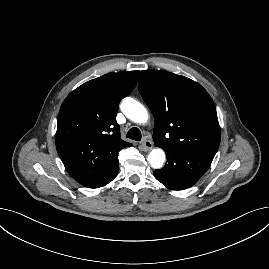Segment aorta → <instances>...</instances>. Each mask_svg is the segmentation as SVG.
Wrapping results in <instances>:
<instances>
[{
	"label": "aorta",
	"instance_id": "1",
	"mask_svg": "<svg viewBox=\"0 0 269 269\" xmlns=\"http://www.w3.org/2000/svg\"><path fill=\"white\" fill-rule=\"evenodd\" d=\"M121 110L135 123L143 124L148 121L149 115L146 108L133 98H125L121 103ZM147 159L153 169H160L166 160V155L163 149L155 148L148 154Z\"/></svg>",
	"mask_w": 269,
	"mask_h": 269
}]
</instances>
